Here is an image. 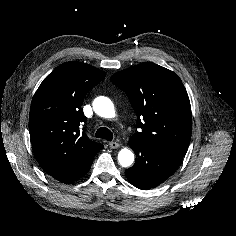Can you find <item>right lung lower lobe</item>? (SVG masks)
<instances>
[{"label": "right lung lower lobe", "mask_w": 236, "mask_h": 236, "mask_svg": "<svg viewBox=\"0 0 236 236\" xmlns=\"http://www.w3.org/2000/svg\"><path fill=\"white\" fill-rule=\"evenodd\" d=\"M94 158L80 162L79 164L49 173L54 179L68 184L81 178L88 172Z\"/></svg>", "instance_id": "right-lung-lower-lobe-1"}]
</instances>
